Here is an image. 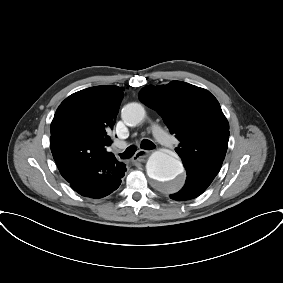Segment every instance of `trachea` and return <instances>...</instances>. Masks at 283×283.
Instances as JSON below:
<instances>
[{
	"label": "trachea",
	"instance_id": "3493384b",
	"mask_svg": "<svg viewBox=\"0 0 283 283\" xmlns=\"http://www.w3.org/2000/svg\"><path fill=\"white\" fill-rule=\"evenodd\" d=\"M141 148L147 150L154 149L155 144L150 140L144 139L141 142ZM135 152H136V147L132 145L129 146L123 153H120L119 156L121 157V159H128L132 157Z\"/></svg>",
	"mask_w": 283,
	"mask_h": 283
}]
</instances>
